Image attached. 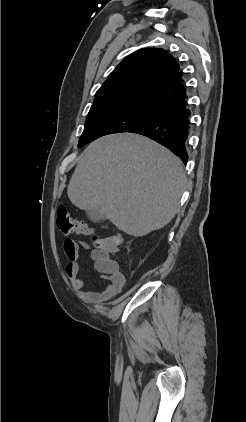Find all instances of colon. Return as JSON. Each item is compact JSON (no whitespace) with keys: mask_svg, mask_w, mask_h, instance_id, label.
<instances>
[{"mask_svg":"<svg viewBox=\"0 0 246 422\" xmlns=\"http://www.w3.org/2000/svg\"><path fill=\"white\" fill-rule=\"evenodd\" d=\"M57 226L64 234L91 236L95 250L102 252L106 256L102 264L103 269L111 273L115 271L118 262L111 257L117 252L119 245L123 242V236L120 232L114 231L107 238L100 239L96 228L72 218L63 206H60L57 210Z\"/></svg>","mask_w":246,"mask_h":422,"instance_id":"colon-1","label":"colon"}]
</instances>
